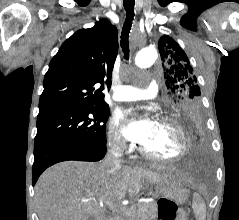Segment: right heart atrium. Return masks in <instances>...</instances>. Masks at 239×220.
Segmentation results:
<instances>
[{
  "label": "right heart atrium",
  "mask_w": 239,
  "mask_h": 220,
  "mask_svg": "<svg viewBox=\"0 0 239 220\" xmlns=\"http://www.w3.org/2000/svg\"><path fill=\"white\" fill-rule=\"evenodd\" d=\"M107 138L108 144L114 152L122 154L127 150L128 146L120 131V118L118 116H113L110 119Z\"/></svg>",
  "instance_id": "right-heart-atrium-1"
}]
</instances>
